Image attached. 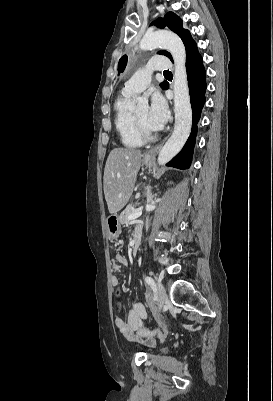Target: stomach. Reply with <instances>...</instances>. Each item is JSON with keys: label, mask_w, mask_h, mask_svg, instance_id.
Segmentation results:
<instances>
[{"label": "stomach", "mask_w": 273, "mask_h": 401, "mask_svg": "<svg viewBox=\"0 0 273 401\" xmlns=\"http://www.w3.org/2000/svg\"><path fill=\"white\" fill-rule=\"evenodd\" d=\"M145 154L142 158V164H146V166L150 168V166H153L154 160L153 158H145ZM106 227L108 239H118L119 235H121V227L117 215H110V217H107Z\"/></svg>", "instance_id": "obj_1"}]
</instances>
